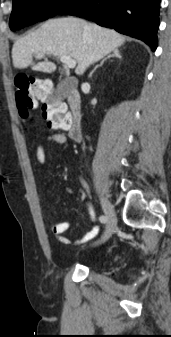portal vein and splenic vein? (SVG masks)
Listing matches in <instances>:
<instances>
[{
  "label": "portal vein and splenic vein",
  "instance_id": "1",
  "mask_svg": "<svg viewBox=\"0 0 171 337\" xmlns=\"http://www.w3.org/2000/svg\"><path fill=\"white\" fill-rule=\"evenodd\" d=\"M45 53L38 54V57H44ZM60 61L65 64L69 69H73L76 66V61L69 56H60Z\"/></svg>",
  "mask_w": 171,
  "mask_h": 337
}]
</instances>
